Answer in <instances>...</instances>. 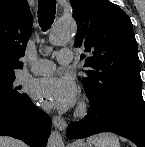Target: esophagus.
Returning a JSON list of instances; mask_svg holds the SVG:
<instances>
[{
	"label": "esophagus",
	"mask_w": 145,
	"mask_h": 147,
	"mask_svg": "<svg viewBox=\"0 0 145 147\" xmlns=\"http://www.w3.org/2000/svg\"><path fill=\"white\" fill-rule=\"evenodd\" d=\"M52 123L55 126V128H57L60 131H65L67 127L66 121L61 116L58 115L53 116Z\"/></svg>",
	"instance_id": "34e87169"
}]
</instances>
